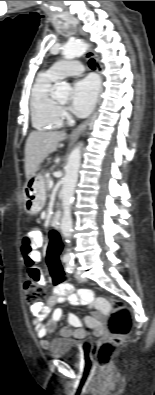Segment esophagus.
Masks as SVG:
<instances>
[{"label": "esophagus", "mask_w": 155, "mask_h": 395, "mask_svg": "<svg viewBox=\"0 0 155 395\" xmlns=\"http://www.w3.org/2000/svg\"><path fill=\"white\" fill-rule=\"evenodd\" d=\"M87 55L95 60V65H96L97 72H98V74L101 77V81H103L102 66L99 63L97 55L91 49H89L87 51ZM101 91H102V88H101ZM98 103H99V99H98ZM95 114H96V112L94 111V113L84 123H82L77 129H75L71 133L70 138L71 139H76L81 134V132L89 125L90 121L95 116Z\"/></svg>", "instance_id": "obj_1"}]
</instances>
